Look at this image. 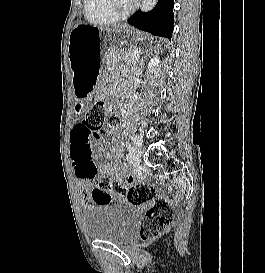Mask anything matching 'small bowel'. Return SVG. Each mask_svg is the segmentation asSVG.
<instances>
[{
	"mask_svg": "<svg viewBox=\"0 0 265 273\" xmlns=\"http://www.w3.org/2000/svg\"><path fill=\"white\" fill-rule=\"evenodd\" d=\"M78 108H81V105H78ZM81 112L82 110L79 109L76 114ZM70 161L79 181L83 205L89 206L90 200L91 204H112L110 190H102V186H91V184L98 178L99 174L112 175L114 167L108 163L98 165L95 162L89 143V131L81 121L75 123L71 130Z\"/></svg>",
	"mask_w": 265,
	"mask_h": 273,
	"instance_id": "obj_1",
	"label": "small bowel"
}]
</instances>
